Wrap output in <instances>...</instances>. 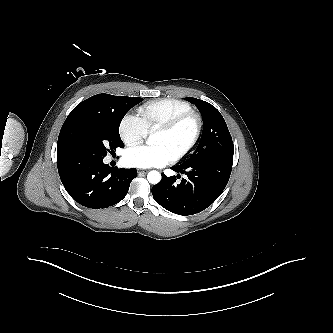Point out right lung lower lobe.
Returning <instances> with one entry per match:
<instances>
[{"label": "right lung lower lobe", "mask_w": 333, "mask_h": 333, "mask_svg": "<svg viewBox=\"0 0 333 333\" xmlns=\"http://www.w3.org/2000/svg\"><path fill=\"white\" fill-rule=\"evenodd\" d=\"M57 167L69 195L79 204L94 209L121 201L137 177L135 168H111L103 163V157L84 151H58Z\"/></svg>", "instance_id": "98d812e1"}]
</instances>
